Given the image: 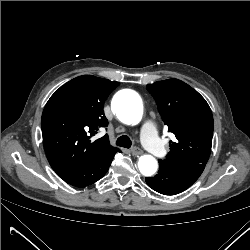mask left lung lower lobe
Returning <instances> with one entry per match:
<instances>
[{
  "label": "left lung lower lobe",
  "instance_id": "1",
  "mask_svg": "<svg viewBox=\"0 0 250 250\" xmlns=\"http://www.w3.org/2000/svg\"><path fill=\"white\" fill-rule=\"evenodd\" d=\"M204 168L201 164L172 166L159 162L158 174L145 180L153 190L164 195H175L189 188Z\"/></svg>",
  "mask_w": 250,
  "mask_h": 250
}]
</instances>
